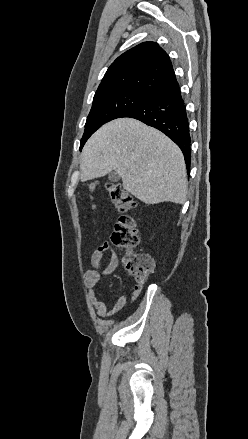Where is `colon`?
<instances>
[{
  "label": "colon",
  "mask_w": 248,
  "mask_h": 439,
  "mask_svg": "<svg viewBox=\"0 0 248 439\" xmlns=\"http://www.w3.org/2000/svg\"><path fill=\"white\" fill-rule=\"evenodd\" d=\"M97 185L98 183L96 182L91 183L90 190L93 191ZM105 187L114 205L120 212L124 213L115 223L111 241L115 246L126 250L123 264L134 277L135 285L143 286L146 278L154 269V261L147 254L133 252V249L138 246L140 239L135 221L126 213L135 207V202L122 185L106 183Z\"/></svg>",
  "instance_id": "colon-1"
}]
</instances>
